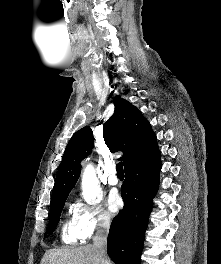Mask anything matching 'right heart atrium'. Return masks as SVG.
<instances>
[{
	"instance_id": "obj_1",
	"label": "right heart atrium",
	"mask_w": 221,
	"mask_h": 264,
	"mask_svg": "<svg viewBox=\"0 0 221 264\" xmlns=\"http://www.w3.org/2000/svg\"><path fill=\"white\" fill-rule=\"evenodd\" d=\"M73 223L79 237L85 240L95 232L107 230L111 225V219L100 205L77 199L73 206Z\"/></svg>"
}]
</instances>
